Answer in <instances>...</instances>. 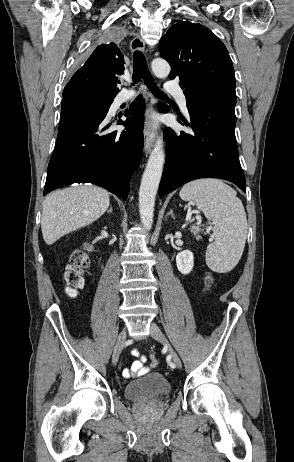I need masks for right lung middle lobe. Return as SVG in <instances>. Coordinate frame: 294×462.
<instances>
[{
  "label": "right lung middle lobe",
  "mask_w": 294,
  "mask_h": 462,
  "mask_svg": "<svg viewBox=\"0 0 294 462\" xmlns=\"http://www.w3.org/2000/svg\"><path fill=\"white\" fill-rule=\"evenodd\" d=\"M118 37V32L110 30L105 39ZM115 96H101L93 93H75L62 100L61 116L63 119L72 115L92 114L100 110H109Z\"/></svg>",
  "instance_id": "obj_1"
}]
</instances>
